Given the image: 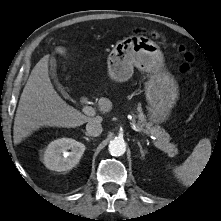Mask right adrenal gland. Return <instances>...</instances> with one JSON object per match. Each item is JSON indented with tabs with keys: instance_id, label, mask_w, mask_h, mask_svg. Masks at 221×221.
<instances>
[{
	"instance_id": "obj_1",
	"label": "right adrenal gland",
	"mask_w": 221,
	"mask_h": 221,
	"mask_svg": "<svg viewBox=\"0 0 221 221\" xmlns=\"http://www.w3.org/2000/svg\"><path fill=\"white\" fill-rule=\"evenodd\" d=\"M85 135H86V136H89V135L87 134V132H85Z\"/></svg>"
}]
</instances>
